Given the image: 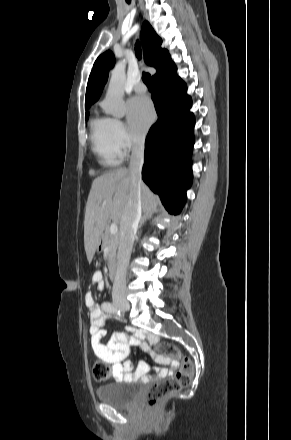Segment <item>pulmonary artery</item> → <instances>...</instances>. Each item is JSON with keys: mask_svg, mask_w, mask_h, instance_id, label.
Returning a JSON list of instances; mask_svg holds the SVG:
<instances>
[{"mask_svg": "<svg viewBox=\"0 0 291 440\" xmlns=\"http://www.w3.org/2000/svg\"><path fill=\"white\" fill-rule=\"evenodd\" d=\"M134 91L139 94L145 93L147 91L146 84L143 81L137 82L134 87Z\"/></svg>", "mask_w": 291, "mask_h": 440, "instance_id": "1", "label": "pulmonary artery"}]
</instances>
